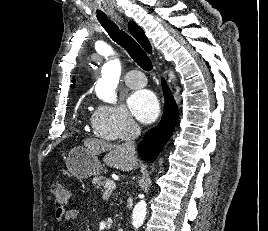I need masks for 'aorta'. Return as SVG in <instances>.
<instances>
[{
  "instance_id": "obj_1",
  "label": "aorta",
  "mask_w": 268,
  "mask_h": 231,
  "mask_svg": "<svg viewBox=\"0 0 268 231\" xmlns=\"http://www.w3.org/2000/svg\"><path fill=\"white\" fill-rule=\"evenodd\" d=\"M121 75V63L118 59L109 61L102 68V76L97 81L95 91L97 96L105 102L115 104L117 102L116 88ZM170 76H173L170 73ZM147 213L146 202L139 201L132 213V225L138 229L144 222Z\"/></svg>"
}]
</instances>
